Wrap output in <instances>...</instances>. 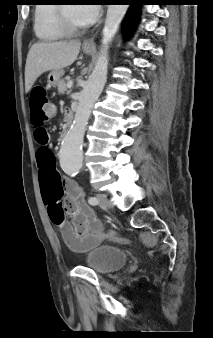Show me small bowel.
Wrapping results in <instances>:
<instances>
[{
  "label": "small bowel",
  "instance_id": "small-bowel-1",
  "mask_svg": "<svg viewBox=\"0 0 213 338\" xmlns=\"http://www.w3.org/2000/svg\"><path fill=\"white\" fill-rule=\"evenodd\" d=\"M46 150V157L40 161L39 170L44 203L52 207L55 204L54 198L63 186L67 196L64 210L72 221H62L59 224L62 239L71 251L86 252L105 240L102 225L92 208L85 203L82 189L74 181L61 179L55 159L50 155L49 149ZM45 173L49 175V180L44 178Z\"/></svg>",
  "mask_w": 213,
  "mask_h": 338
}]
</instances>
